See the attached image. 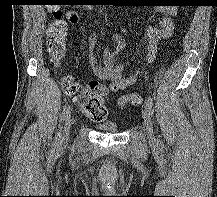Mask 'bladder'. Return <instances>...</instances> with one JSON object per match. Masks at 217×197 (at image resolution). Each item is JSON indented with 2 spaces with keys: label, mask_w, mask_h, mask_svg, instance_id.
Listing matches in <instances>:
<instances>
[{
  "label": "bladder",
  "mask_w": 217,
  "mask_h": 197,
  "mask_svg": "<svg viewBox=\"0 0 217 197\" xmlns=\"http://www.w3.org/2000/svg\"><path fill=\"white\" fill-rule=\"evenodd\" d=\"M95 127L99 130H102L108 133H116L119 131L118 124L114 122L96 124Z\"/></svg>",
  "instance_id": "31cf9c89"
}]
</instances>
